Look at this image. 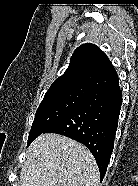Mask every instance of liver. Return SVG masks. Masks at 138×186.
<instances>
[{
    "label": "liver",
    "instance_id": "liver-1",
    "mask_svg": "<svg viewBox=\"0 0 138 186\" xmlns=\"http://www.w3.org/2000/svg\"><path fill=\"white\" fill-rule=\"evenodd\" d=\"M20 181L21 186H99V172L84 145L46 133L29 146Z\"/></svg>",
    "mask_w": 138,
    "mask_h": 186
}]
</instances>
